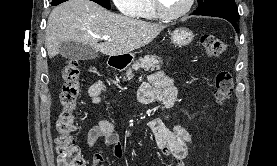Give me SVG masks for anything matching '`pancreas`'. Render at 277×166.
<instances>
[{"instance_id": "pancreas-1", "label": "pancreas", "mask_w": 277, "mask_h": 166, "mask_svg": "<svg viewBox=\"0 0 277 166\" xmlns=\"http://www.w3.org/2000/svg\"><path fill=\"white\" fill-rule=\"evenodd\" d=\"M162 65V60L155 56V55H147L144 58H140L139 61H136L131 68H129L126 71V77H124V80L128 79H132L133 78V73L132 71H137L140 68L144 69L145 71H154L155 69L158 70L161 68Z\"/></svg>"}]
</instances>
